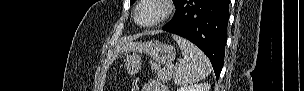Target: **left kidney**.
Listing matches in <instances>:
<instances>
[{
  "label": "left kidney",
  "instance_id": "1",
  "mask_svg": "<svg viewBox=\"0 0 304 91\" xmlns=\"http://www.w3.org/2000/svg\"><path fill=\"white\" fill-rule=\"evenodd\" d=\"M177 91H210V84H195V85H185L177 89Z\"/></svg>",
  "mask_w": 304,
  "mask_h": 91
}]
</instances>
